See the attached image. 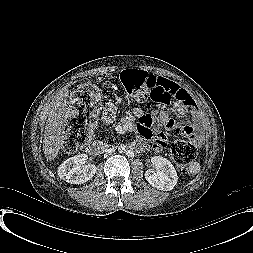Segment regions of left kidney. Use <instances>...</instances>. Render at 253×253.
Instances as JSON below:
<instances>
[{
  "instance_id": "5707ae66",
  "label": "left kidney",
  "mask_w": 253,
  "mask_h": 253,
  "mask_svg": "<svg viewBox=\"0 0 253 253\" xmlns=\"http://www.w3.org/2000/svg\"><path fill=\"white\" fill-rule=\"evenodd\" d=\"M152 167L145 172V179L153 187L170 191L177 184L178 176L172 163L162 156L151 158Z\"/></svg>"
}]
</instances>
